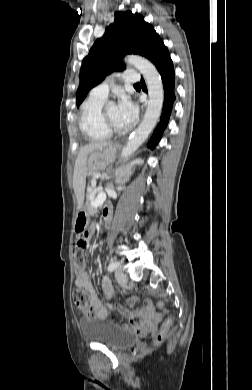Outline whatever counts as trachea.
<instances>
[{"mask_svg": "<svg viewBox=\"0 0 252 390\" xmlns=\"http://www.w3.org/2000/svg\"><path fill=\"white\" fill-rule=\"evenodd\" d=\"M134 86H140V84H139V83H136Z\"/></svg>", "mask_w": 252, "mask_h": 390, "instance_id": "1", "label": "trachea"}]
</instances>
